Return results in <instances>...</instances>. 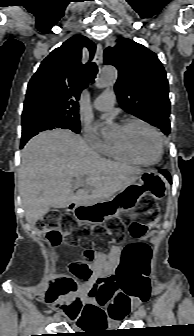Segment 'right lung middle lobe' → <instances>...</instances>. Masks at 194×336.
<instances>
[{
  "mask_svg": "<svg viewBox=\"0 0 194 336\" xmlns=\"http://www.w3.org/2000/svg\"><path fill=\"white\" fill-rule=\"evenodd\" d=\"M56 128L70 129L75 133H79L80 121L79 119L57 115L39 116L31 121H26L24 123L22 122V139L30 133L52 130Z\"/></svg>",
  "mask_w": 194,
  "mask_h": 336,
  "instance_id": "right-lung-middle-lobe-1",
  "label": "right lung middle lobe"
}]
</instances>
